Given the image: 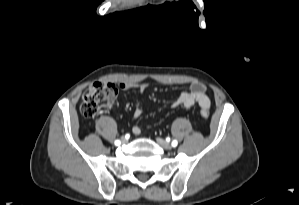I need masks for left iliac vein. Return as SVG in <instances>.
<instances>
[{"mask_svg": "<svg viewBox=\"0 0 299 205\" xmlns=\"http://www.w3.org/2000/svg\"><path fill=\"white\" fill-rule=\"evenodd\" d=\"M157 143L165 150H170L172 149V145L169 144L167 141H165L164 139L162 138H157L156 139Z\"/></svg>", "mask_w": 299, "mask_h": 205, "instance_id": "obj_1", "label": "left iliac vein"}]
</instances>
